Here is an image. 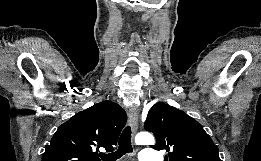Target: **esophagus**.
Listing matches in <instances>:
<instances>
[{
    "label": "esophagus",
    "instance_id": "34e87169",
    "mask_svg": "<svg viewBox=\"0 0 261 161\" xmlns=\"http://www.w3.org/2000/svg\"><path fill=\"white\" fill-rule=\"evenodd\" d=\"M128 116H129L132 132L135 134L138 129V124H139V115H138L137 108L134 106L130 107Z\"/></svg>",
    "mask_w": 261,
    "mask_h": 161
}]
</instances>
